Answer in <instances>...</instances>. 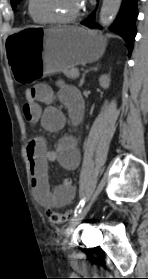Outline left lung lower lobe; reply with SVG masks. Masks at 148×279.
<instances>
[{"mask_svg": "<svg viewBox=\"0 0 148 279\" xmlns=\"http://www.w3.org/2000/svg\"><path fill=\"white\" fill-rule=\"evenodd\" d=\"M138 0H123L120 11L111 25L110 30L117 33L125 39L127 42L129 53L131 54L133 48V41L136 36V18L138 16L137 9ZM81 24L86 25L90 28L98 27L95 23V11ZM102 27H100L101 29Z\"/></svg>", "mask_w": 148, "mask_h": 279, "instance_id": "0a47b994", "label": "left lung lower lobe"}]
</instances>
